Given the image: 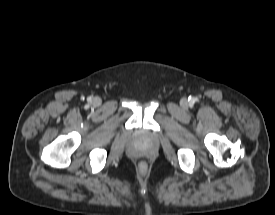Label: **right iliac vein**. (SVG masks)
Segmentation results:
<instances>
[{"label": "right iliac vein", "instance_id": "obj_1", "mask_svg": "<svg viewBox=\"0 0 275 215\" xmlns=\"http://www.w3.org/2000/svg\"><path fill=\"white\" fill-rule=\"evenodd\" d=\"M93 105L100 106L101 105V99L98 97H95L92 101Z\"/></svg>", "mask_w": 275, "mask_h": 215}]
</instances>
